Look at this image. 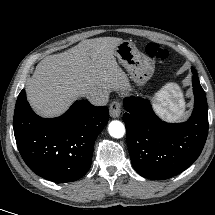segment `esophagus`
<instances>
[{
	"label": "esophagus",
	"mask_w": 215,
	"mask_h": 215,
	"mask_svg": "<svg viewBox=\"0 0 215 215\" xmlns=\"http://www.w3.org/2000/svg\"><path fill=\"white\" fill-rule=\"evenodd\" d=\"M110 116L113 118H118L121 114V104L119 101L114 100L111 102L109 107Z\"/></svg>",
	"instance_id": "1"
}]
</instances>
